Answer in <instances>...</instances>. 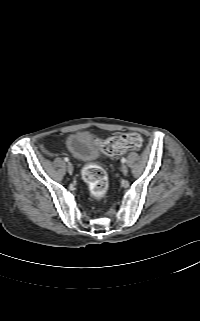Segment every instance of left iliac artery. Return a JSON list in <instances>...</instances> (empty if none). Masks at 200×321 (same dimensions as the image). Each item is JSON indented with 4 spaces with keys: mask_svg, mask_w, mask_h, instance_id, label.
I'll return each mask as SVG.
<instances>
[{
    "mask_svg": "<svg viewBox=\"0 0 200 321\" xmlns=\"http://www.w3.org/2000/svg\"><path fill=\"white\" fill-rule=\"evenodd\" d=\"M121 162H122V163H125V162H126V158L123 157V158L121 159Z\"/></svg>",
    "mask_w": 200,
    "mask_h": 321,
    "instance_id": "left-iliac-artery-1",
    "label": "left iliac artery"
}]
</instances>
